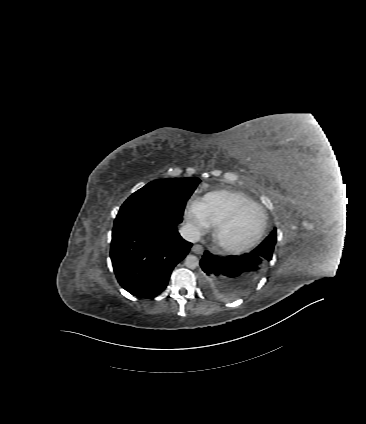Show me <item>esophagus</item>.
<instances>
[{"mask_svg":"<svg viewBox=\"0 0 366 424\" xmlns=\"http://www.w3.org/2000/svg\"><path fill=\"white\" fill-rule=\"evenodd\" d=\"M192 251L196 254H201L203 252V247L199 244H196L192 247Z\"/></svg>","mask_w":366,"mask_h":424,"instance_id":"1","label":"esophagus"}]
</instances>
